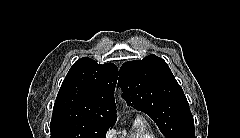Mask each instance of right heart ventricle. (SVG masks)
I'll return each instance as SVG.
<instances>
[{
  "mask_svg": "<svg viewBox=\"0 0 240 138\" xmlns=\"http://www.w3.org/2000/svg\"><path fill=\"white\" fill-rule=\"evenodd\" d=\"M119 138H155L148 124L141 118H136L131 129L122 133Z\"/></svg>",
  "mask_w": 240,
  "mask_h": 138,
  "instance_id": "1",
  "label": "right heart ventricle"
}]
</instances>
